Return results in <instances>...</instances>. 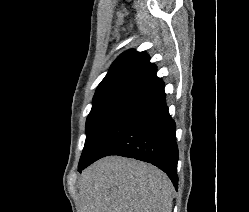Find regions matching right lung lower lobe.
<instances>
[{"label":"right lung lower lobe","mask_w":249,"mask_h":212,"mask_svg":"<svg viewBox=\"0 0 249 212\" xmlns=\"http://www.w3.org/2000/svg\"><path fill=\"white\" fill-rule=\"evenodd\" d=\"M176 125L165 101L164 84L138 96L108 126L88 158L78 166L81 172L96 160L119 155L151 163L163 170L177 188L178 148Z\"/></svg>","instance_id":"obj_1"}]
</instances>
